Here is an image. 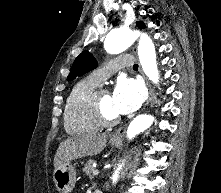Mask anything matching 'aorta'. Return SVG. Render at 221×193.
<instances>
[{"mask_svg": "<svg viewBox=\"0 0 221 193\" xmlns=\"http://www.w3.org/2000/svg\"><path fill=\"white\" fill-rule=\"evenodd\" d=\"M140 37L138 44V56L141 67L146 76L155 84L159 81V72L156 63V51L152 39L142 33L132 31L127 28H119L111 31L105 39V49L108 53L117 54L130 47L137 37ZM154 121V117L142 114L135 117L127 128V137L134 138L139 133L148 129ZM113 173L111 180L116 183L119 178V170Z\"/></svg>", "mask_w": 221, "mask_h": 193, "instance_id": "762f6f07", "label": "aorta"}]
</instances>
